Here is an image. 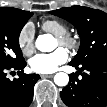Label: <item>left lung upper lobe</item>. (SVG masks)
Wrapping results in <instances>:
<instances>
[{"label":"left lung upper lobe","mask_w":107,"mask_h":107,"mask_svg":"<svg viewBox=\"0 0 107 107\" xmlns=\"http://www.w3.org/2000/svg\"><path fill=\"white\" fill-rule=\"evenodd\" d=\"M72 23L79 33L81 45L70 62L81 65L98 57H107V14L83 6H72L50 11Z\"/></svg>","instance_id":"1"}]
</instances>
